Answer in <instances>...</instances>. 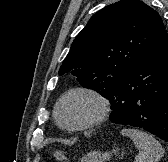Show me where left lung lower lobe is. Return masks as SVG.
I'll list each match as a JSON object with an SVG mask.
<instances>
[{
    "label": "left lung lower lobe",
    "instance_id": "0a47b994",
    "mask_svg": "<svg viewBox=\"0 0 168 162\" xmlns=\"http://www.w3.org/2000/svg\"><path fill=\"white\" fill-rule=\"evenodd\" d=\"M109 101L113 123L142 128L168 142V34L165 28Z\"/></svg>",
    "mask_w": 168,
    "mask_h": 162
}]
</instances>
